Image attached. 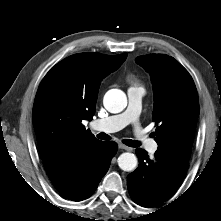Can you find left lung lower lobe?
Wrapping results in <instances>:
<instances>
[{"label":"left lung lower lobe","instance_id":"obj_1","mask_svg":"<svg viewBox=\"0 0 221 221\" xmlns=\"http://www.w3.org/2000/svg\"><path fill=\"white\" fill-rule=\"evenodd\" d=\"M138 168L127 177L128 190L135 203L155 207L166 201L183 180L188 160L176 154L157 150L150 159L141 148L136 149Z\"/></svg>","mask_w":221,"mask_h":221}]
</instances>
